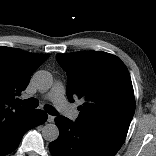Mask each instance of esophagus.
I'll use <instances>...</instances> for the list:
<instances>
[{
    "mask_svg": "<svg viewBox=\"0 0 156 156\" xmlns=\"http://www.w3.org/2000/svg\"><path fill=\"white\" fill-rule=\"evenodd\" d=\"M54 119H55L54 116L48 115L47 121H48L49 123H52V122H54Z\"/></svg>",
    "mask_w": 156,
    "mask_h": 156,
    "instance_id": "esophagus-1",
    "label": "esophagus"
}]
</instances>
